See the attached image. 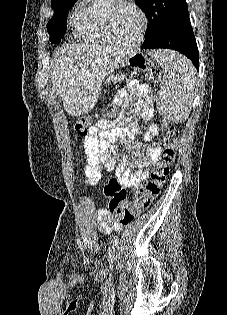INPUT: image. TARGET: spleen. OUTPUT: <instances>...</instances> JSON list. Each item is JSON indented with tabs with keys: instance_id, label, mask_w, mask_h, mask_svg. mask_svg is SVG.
Wrapping results in <instances>:
<instances>
[{
	"instance_id": "spleen-1",
	"label": "spleen",
	"mask_w": 227,
	"mask_h": 315,
	"mask_svg": "<svg viewBox=\"0 0 227 315\" xmlns=\"http://www.w3.org/2000/svg\"><path fill=\"white\" fill-rule=\"evenodd\" d=\"M150 55L163 68V86L157 97L159 113L174 122H184L190 113L195 73L190 62L174 51L157 50Z\"/></svg>"
}]
</instances>
